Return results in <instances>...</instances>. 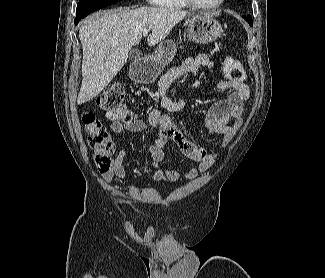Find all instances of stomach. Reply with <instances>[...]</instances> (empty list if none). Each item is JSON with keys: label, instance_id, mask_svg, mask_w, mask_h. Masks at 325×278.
<instances>
[{"label": "stomach", "instance_id": "obj_1", "mask_svg": "<svg viewBox=\"0 0 325 278\" xmlns=\"http://www.w3.org/2000/svg\"><path fill=\"white\" fill-rule=\"evenodd\" d=\"M222 32L221 24L210 15H194L188 20L187 37L192 42L211 43L221 37ZM175 51V42L170 39L162 41L154 57L135 67L131 73L132 80L142 84L153 83L172 60Z\"/></svg>", "mask_w": 325, "mask_h": 278}]
</instances>
